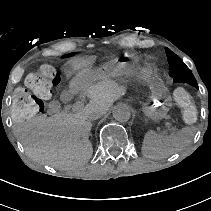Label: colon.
<instances>
[{
	"label": "colon",
	"mask_w": 211,
	"mask_h": 211,
	"mask_svg": "<svg viewBox=\"0 0 211 211\" xmlns=\"http://www.w3.org/2000/svg\"><path fill=\"white\" fill-rule=\"evenodd\" d=\"M59 81V73L51 65H42L29 73L25 79V87L17 88L12 95V118L17 122H27L41 114L45 100L51 96ZM174 99L181 109L184 122L195 123L198 110L192 95L186 89L178 88L174 92Z\"/></svg>",
	"instance_id": "colon-1"
}]
</instances>
